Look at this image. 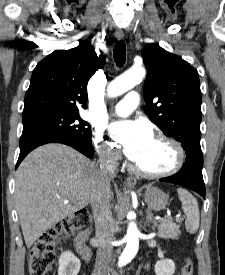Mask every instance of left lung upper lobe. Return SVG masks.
I'll return each instance as SVG.
<instances>
[{
  "mask_svg": "<svg viewBox=\"0 0 225 275\" xmlns=\"http://www.w3.org/2000/svg\"><path fill=\"white\" fill-rule=\"evenodd\" d=\"M147 77L144 111L164 134L181 142L185 152L201 150V91L195 68L158 44L142 50Z\"/></svg>",
  "mask_w": 225,
  "mask_h": 275,
  "instance_id": "1",
  "label": "left lung upper lobe"
}]
</instances>
